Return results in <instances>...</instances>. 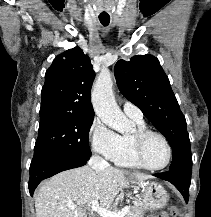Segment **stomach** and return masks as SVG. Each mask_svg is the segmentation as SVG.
Returning a JSON list of instances; mask_svg holds the SVG:
<instances>
[{
    "instance_id": "1",
    "label": "stomach",
    "mask_w": 211,
    "mask_h": 217,
    "mask_svg": "<svg viewBox=\"0 0 211 217\" xmlns=\"http://www.w3.org/2000/svg\"><path fill=\"white\" fill-rule=\"evenodd\" d=\"M142 188V204L144 210L163 208L168 202V194L164 187L156 182L139 181Z\"/></svg>"
}]
</instances>
